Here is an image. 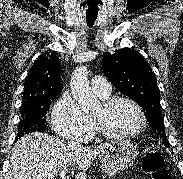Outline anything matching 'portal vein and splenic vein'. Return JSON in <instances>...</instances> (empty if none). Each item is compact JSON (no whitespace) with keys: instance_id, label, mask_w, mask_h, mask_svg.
<instances>
[{"instance_id":"18ae733b","label":"portal vein and splenic vein","mask_w":183,"mask_h":179,"mask_svg":"<svg viewBox=\"0 0 183 179\" xmlns=\"http://www.w3.org/2000/svg\"><path fill=\"white\" fill-rule=\"evenodd\" d=\"M66 171H67V170H61V171H60V176H61V177H65Z\"/></svg>"}]
</instances>
